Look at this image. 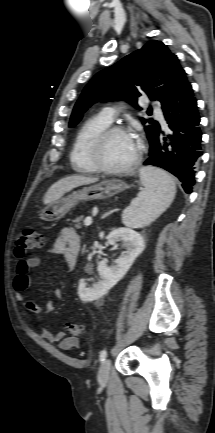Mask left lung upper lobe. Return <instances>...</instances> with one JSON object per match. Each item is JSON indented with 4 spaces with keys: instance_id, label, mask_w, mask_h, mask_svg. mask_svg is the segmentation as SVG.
<instances>
[{
    "instance_id": "obj_1",
    "label": "left lung upper lobe",
    "mask_w": 215,
    "mask_h": 433,
    "mask_svg": "<svg viewBox=\"0 0 215 433\" xmlns=\"http://www.w3.org/2000/svg\"><path fill=\"white\" fill-rule=\"evenodd\" d=\"M186 78L177 56L161 41L151 40L143 48L124 57L118 63L97 73L83 90L71 115L69 127H74L82 114L97 101L125 99L136 103L147 94L151 100L163 105ZM152 109L147 113L151 115ZM150 145L160 132V125L141 118Z\"/></svg>"
}]
</instances>
